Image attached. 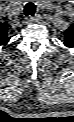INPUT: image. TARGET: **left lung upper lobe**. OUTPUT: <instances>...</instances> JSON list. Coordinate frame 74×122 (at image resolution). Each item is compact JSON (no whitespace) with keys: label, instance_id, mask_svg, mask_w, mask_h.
I'll return each mask as SVG.
<instances>
[{"label":"left lung upper lobe","instance_id":"left-lung-upper-lobe-1","mask_svg":"<svg viewBox=\"0 0 74 122\" xmlns=\"http://www.w3.org/2000/svg\"><path fill=\"white\" fill-rule=\"evenodd\" d=\"M64 45L74 48V25L64 32Z\"/></svg>","mask_w":74,"mask_h":122}]
</instances>
